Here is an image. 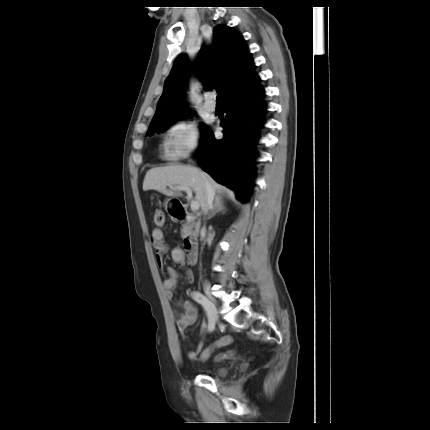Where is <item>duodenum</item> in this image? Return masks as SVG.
Masks as SVG:
<instances>
[{
  "instance_id": "1",
  "label": "duodenum",
  "mask_w": 430,
  "mask_h": 430,
  "mask_svg": "<svg viewBox=\"0 0 430 430\" xmlns=\"http://www.w3.org/2000/svg\"><path fill=\"white\" fill-rule=\"evenodd\" d=\"M173 216L178 220H184L188 217V211L182 204L177 203L173 207ZM184 253L189 264L193 265L196 263L198 257V244L193 238L188 237L185 239Z\"/></svg>"
}]
</instances>
